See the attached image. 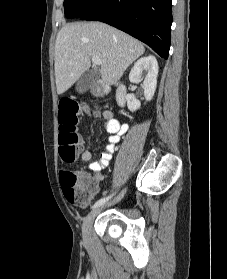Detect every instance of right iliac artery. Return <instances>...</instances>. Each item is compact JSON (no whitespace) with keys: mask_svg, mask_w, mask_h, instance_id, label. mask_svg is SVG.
<instances>
[{"mask_svg":"<svg viewBox=\"0 0 227 279\" xmlns=\"http://www.w3.org/2000/svg\"><path fill=\"white\" fill-rule=\"evenodd\" d=\"M112 196H113V195H110V196H108V197H106V198H102V199L98 200V201L92 206V208L94 209V208H97V207L101 206V205L104 204L106 201H108Z\"/></svg>","mask_w":227,"mask_h":279,"instance_id":"right-iliac-artery-1","label":"right iliac artery"}]
</instances>
